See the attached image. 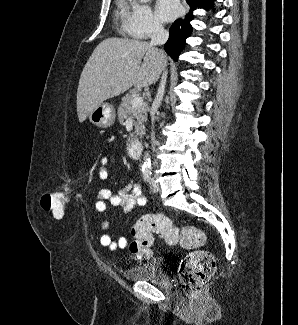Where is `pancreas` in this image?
I'll return each mask as SVG.
<instances>
[{"label": "pancreas", "mask_w": 298, "mask_h": 325, "mask_svg": "<svg viewBox=\"0 0 298 325\" xmlns=\"http://www.w3.org/2000/svg\"><path fill=\"white\" fill-rule=\"evenodd\" d=\"M136 92H139L137 88H131L130 94H136ZM130 94H126V96H123L121 104L118 106V120L119 122H123L125 118H129V116H132V118H136V120H133V124L135 126L134 132H130L128 138H127V144L133 140V138H138V136H142V134H145V124L147 120V112L150 110L149 102H143L142 106H138V108H135V110H132V98L134 96H130Z\"/></svg>", "instance_id": "1"}]
</instances>
